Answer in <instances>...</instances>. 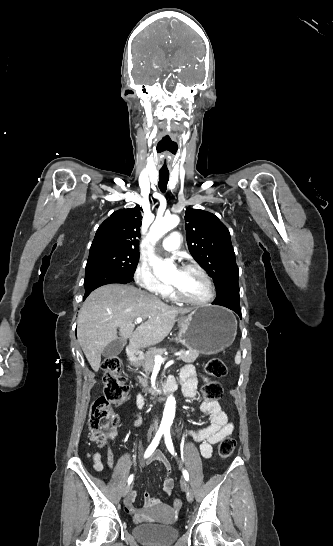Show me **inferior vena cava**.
I'll use <instances>...</instances> for the list:
<instances>
[{
  "label": "inferior vena cava",
  "mask_w": 333,
  "mask_h": 546,
  "mask_svg": "<svg viewBox=\"0 0 333 546\" xmlns=\"http://www.w3.org/2000/svg\"><path fill=\"white\" fill-rule=\"evenodd\" d=\"M152 428L156 431L158 429V421L155 419Z\"/></svg>",
  "instance_id": "1"
}]
</instances>
